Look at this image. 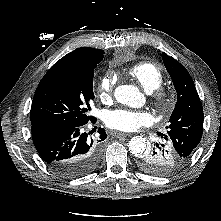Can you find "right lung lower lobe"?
Here are the masks:
<instances>
[{"label": "right lung lower lobe", "instance_id": "98d812e1", "mask_svg": "<svg viewBox=\"0 0 221 221\" xmlns=\"http://www.w3.org/2000/svg\"><path fill=\"white\" fill-rule=\"evenodd\" d=\"M95 122V120H93ZM81 126H32L34 145L47 166L56 174L75 178L86 175L99 163L100 142L107 138L99 128L100 140L94 143Z\"/></svg>", "mask_w": 221, "mask_h": 221}]
</instances>
